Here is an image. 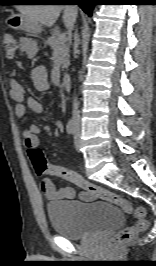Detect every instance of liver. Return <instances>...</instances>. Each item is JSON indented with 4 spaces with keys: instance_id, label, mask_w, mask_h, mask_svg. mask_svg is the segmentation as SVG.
Returning <instances> with one entry per match:
<instances>
[{
    "instance_id": "6515ba94",
    "label": "liver",
    "mask_w": 156,
    "mask_h": 266,
    "mask_svg": "<svg viewBox=\"0 0 156 266\" xmlns=\"http://www.w3.org/2000/svg\"><path fill=\"white\" fill-rule=\"evenodd\" d=\"M18 10L33 22L51 27L63 10V22L66 28L72 29L76 20V12L72 5H21Z\"/></svg>"
}]
</instances>
